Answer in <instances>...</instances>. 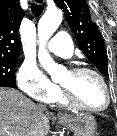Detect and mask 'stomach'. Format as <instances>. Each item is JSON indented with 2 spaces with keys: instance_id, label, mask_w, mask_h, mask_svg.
<instances>
[{
  "instance_id": "stomach-1",
  "label": "stomach",
  "mask_w": 117,
  "mask_h": 136,
  "mask_svg": "<svg viewBox=\"0 0 117 136\" xmlns=\"http://www.w3.org/2000/svg\"><path fill=\"white\" fill-rule=\"evenodd\" d=\"M60 122L68 127L75 136H94L97 123L93 116L87 114H77L60 119Z\"/></svg>"
}]
</instances>
